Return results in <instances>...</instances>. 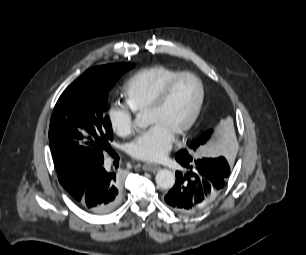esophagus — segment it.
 Instances as JSON below:
<instances>
[{
    "label": "esophagus",
    "instance_id": "esophagus-1",
    "mask_svg": "<svg viewBox=\"0 0 306 255\" xmlns=\"http://www.w3.org/2000/svg\"><path fill=\"white\" fill-rule=\"evenodd\" d=\"M144 171L156 172L160 169V166L157 164L145 163L142 165Z\"/></svg>",
    "mask_w": 306,
    "mask_h": 255
}]
</instances>
